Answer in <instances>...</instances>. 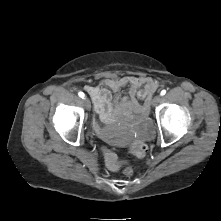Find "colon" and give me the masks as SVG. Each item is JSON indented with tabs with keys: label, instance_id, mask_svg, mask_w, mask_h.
I'll list each match as a JSON object with an SVG mask.
<instances>
[{
	"label": "colon",
	"instance_id": "obj_1",
	"mask_svg": "<svg viewBox=\"0 0 221 221\" xmlns=\"http://www.w3.org/2000/svg\"><path fill=\"white\" fill-rule=\"evenodd\" d=\"M147 149L148 147L146 143H144L143 141H137L132 146L131 153L137 158H142L147 153ZM103 153L107 167L110 170H117L120 164L118 162L116 154L109 149H103ZM123 173L126 176H131L133 174V168L130 165L126 164L124 165Z\"/></svg>",
	"mask_w": 221,
	"mask_h": 221
}]
</instances>
